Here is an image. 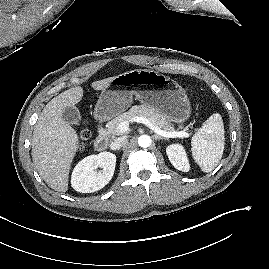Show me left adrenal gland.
Segmentation results:
<instances>
[{"instance_id": "a2214340", "label": "left adrenal gland", "mask_w": 269, "mask_h": 269, "mask_svg": "<svg viewBox=\"0 0 269 269\" xmlns=\"http://www.w3.org/2000/svg\"><path fill=\"white\" fill-rule=\"evenodd\" d=\"M154 138H155V140H167L166 138L158 136L157 134L154 135Z\"/></svg>"}]
</instances>
